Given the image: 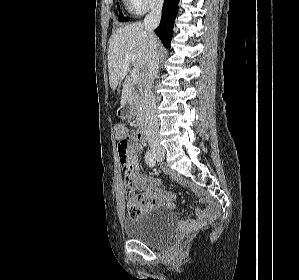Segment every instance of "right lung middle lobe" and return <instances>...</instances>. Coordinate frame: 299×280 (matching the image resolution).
Segmentation results:
<instances>
[{"label": "right lung middle lobe", "instance_id": "1", "mask_svg": "<svg viewBox=\"0 0 299 280\" xmlns=\"http://www.w3.org/2000/svg\"><path fill=\"white\" fill-rule=\"evenodd\" d=\"M118 19H119L120 21H122V22H125V21H128V20H129V18L124 17V16L122 15V12H121V11H120V14H119Z\"/></svg>", "mask_w": 299, "mask_h": 280}]
</instances>
